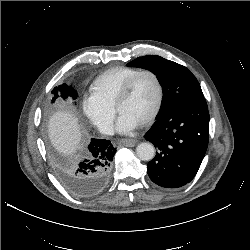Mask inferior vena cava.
I'll return each instance as SVG.
<instances>
[{"mask_svg":"<svg viewBox=\"0 0 250 250\" xmlns=\"http://www.w3.org/2000/svg\"><path fill=\"white\" fill-rule=\"evenodd\" d=\"M100 132L106 135H113L114 134V128L112 124H103L100 127Z\"/></svg>","mask_w":250,"mask_h":250,"instance_id":"inferior-vena-cava-1","label":"inferior vena cava"}]
</instances>
